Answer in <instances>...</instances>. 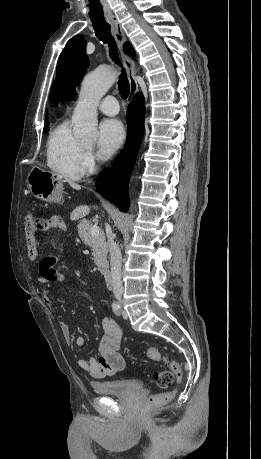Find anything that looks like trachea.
I'll list each match as a JSON object with an SVG mask.
<instances>
[{
    "label": "trachea",
    "mask_w": 261,
    "mask_h": 459,
    "mask_svg": "<svg viewBox=\"0 0 261 459\" xmlns=\"http://www.w3.org/2000/svg\"><path fill=\"white\" fill-rule=\"evenodd\" d=\"M92 24L97 38L103 43L108 44L109 55L112 60L122 67V63L118 57L117 45L110 31V25L105 20H92ZM118 89L122 98L126 99L130 92V85L123 67L118 80Z\"/></svg>",
    "instance_id": "3493384b"
}]
</instances>
